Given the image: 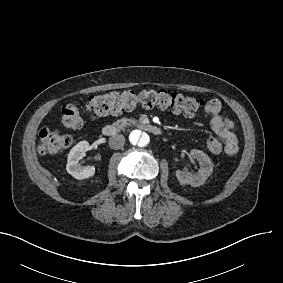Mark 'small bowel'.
Here are the masks:
<instances>
[{"label":"small bowel","instance_id":"c3829d8e","mask_svg":"<svg viewBox=\"0 0 283 283\" xmlns=\"http://www.w3.org/2000/svg\"><path fill=\"white\" fill-rule=\"evenodd\" d=\"M223 105L218 99H211L205 105V112L210 118L214 133L225 145V154L234 156L239 150L234 123L222 113Z\"/></svg>","mask_w":283,"mask_h":283}]
</instances>
